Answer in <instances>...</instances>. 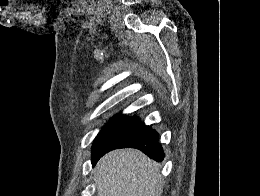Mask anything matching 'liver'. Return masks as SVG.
I'll return each instance as SVG.
<instances>
[{
	"mask_svg": "<svg viewBox=\"0 0 260 196\" xmlns=\"http://www.w3.org/2000/svg\"><path fill=\"white\" fill-rule=\"evenodd\" d=\"M97 196H161L160 166L139 150H113L94 168Z\"/></svg>",
	"mask_w": 260,
	"mask_h": 196,
	"instance_id": "obj_1",
	"label": "liver"
}]
</instances>
